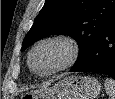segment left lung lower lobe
Instances as JSON below:
<instances>
[{
    "label": "left lung lower lobe",
    "instance_id": "1",
    "mask_svg": "<svg viewBox=\"0 0 115 99\" xmlns=\"http://www.w3.org/2000/svg\"><path fill=\"white\" fill-rule=\"evenodd\" d=\"M71 72H97L115 78V20L93 49Z\"/></svg>",
    "mask_w": 115,
    "mask_h": 99
}]
</instances>
